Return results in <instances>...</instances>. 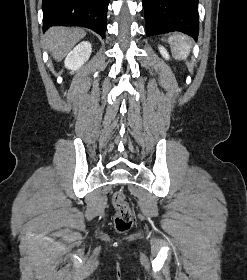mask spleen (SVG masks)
<instances>
[{"label":"spleen","instance_id":"obj_1","mask_svg":"<svg viewBox=\"0 0 247 280\" xmlns=\"http://www.w3.org/2000/svg\"><path fill=\"white\" fill-rule=\"evenodd\" d=\"M168 42L176 59L185 60L188 57L192 48V42L187 35L174 34L169 37Z\"/></svg>","mask_w":247,"mask_h":280}]
</instances>
